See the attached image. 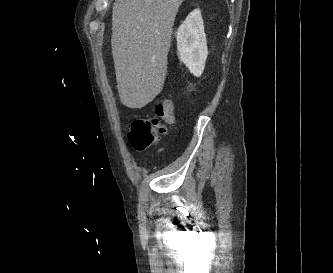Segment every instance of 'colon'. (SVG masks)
Returning <instances> with one entry per match:
<instances>
[{"label":"colon","instance_id":"1","mask_svg":"<svg viewBox=\"0 0 333 273\" xmlns=\"http://www.w3.org/2000/svg\"><path fill=\"white\" fill-rule=\"evenodd\" d=\"M173 121V102L169 97H163L157 101L155 115L152 118L136 119L131 123L128 131L131 146L138 151L149 148L167 131Z\"/></svg>","mask_w":333,"mask_h":273}]
</instances>
